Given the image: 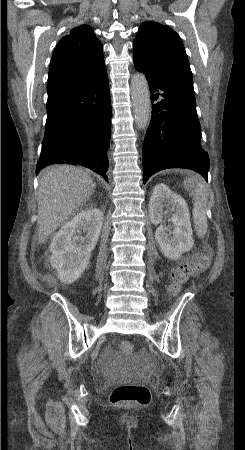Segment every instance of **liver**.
<instances>
[{
    "label": "liver",
    "mask_w": 245,
    "mask_h": 450,
    "mask_svg": "<svg viewBox=\"0 0 245 450\" xmlns=\"http://www.w3.org/2000/svg\"><path fill=\"white\" fill-rule=\"evenodd\" d=\"M90 175L70 165L46 167L41 173L38 192V244L49 236L94 193Z\"/></svg>",
    "instance_id": "6515ba94"
}]
</instances>
